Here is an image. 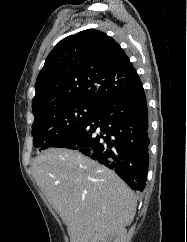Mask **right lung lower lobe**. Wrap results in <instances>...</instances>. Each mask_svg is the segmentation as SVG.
Wrapping results in <instances>:
<instances>
[{"mask_svg":"<svg viewBox=\"0 0 187 242\" xmlns=\"http://www.w3.org/2000/svg\"><path fill=\"white\" fill-rule=\"evenodd\" d=\"M148 109L142 85L111 97L50 147L78 150L143 191L149 162Z\"/></svg>","mask_w":187,"mask_h":242,"instance_id":"right-lung-lower-lobe-1","label":"right lung lower lobe"}]
</instances>
